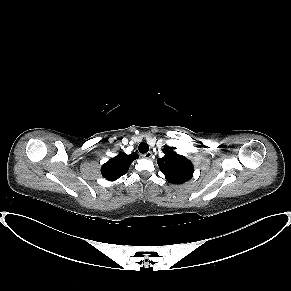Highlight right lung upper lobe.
Instances as JSON below:
<instances>
[{"instance_id": "right-lung-upper-lobe-1", "label": "right lung upper lobe", "mask_w": 291, "mask_h": 291, "mask_svg": "<svg viewBox=\"0 0 291 291\" xmlns=\"http://www.w3.org/2000/svg\"><path fill=\"white\" fill-rule=\"evenodd\" d=\"M138 158L136 152L130 155L120 152L119 155L110 159L101 167V173L108 181H115L122 175L126 174L131 163Z\"/></svg>"}]
</instances>
